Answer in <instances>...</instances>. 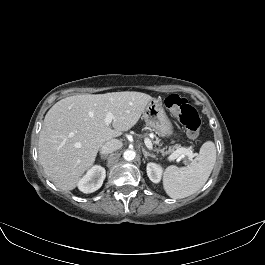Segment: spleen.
Masks as SVG:
<instances>
[{"label": "spleen", "instance_id": "obj_1", "mask_svg": "<svg viewBox=\"0 0 265 265\" xmlns=\"http://www.w3.org/2000/svg\"><path fill=\"white\" fill-rule=\"evenodd\" d=\"M216 162V147L205 142L199 154L187 167L168 166L163 175V187L173 199L188 197L200 190L207 182Z\"/></svg>", "mask_w": 265, "mask_h": 265}]
</instances>
